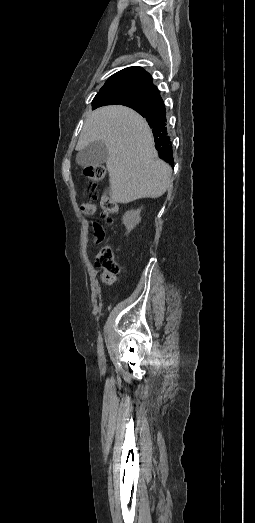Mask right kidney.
Here are the masks:
<instances>
[{
	"instance_id": "right-kidney-1",
	"label": "right kidney",
	"mask_w": 255,
	"mask_h": 523,
	"mask_svg": "<svg viewBox=\"0 0 255 523\" xmlns=\"http://www.w3.org/2000/svg\"><path fill=\"white\" fill-rule=\"evenodd\" d=\"M140 212L141 210H130V212H126V214H124L123 224H125L127 232L134 230L135 226L141 222Z\"/></svg>"
}]
</instances>
